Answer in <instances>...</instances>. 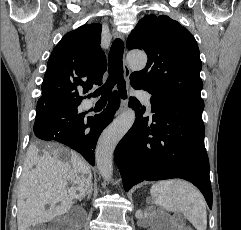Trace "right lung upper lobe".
I'll list each match as a JSON object with an SVG mask.
<instances>
[{
	"label": "right lung upper lobe",
	"instance_id": "right-lung-upper-lobe-1",
	"mask_svg": "<svg viewBox=\"0 0 241 230\" xmlns=\"http://www.w3.org/2000/svg\"><path fill=\"white\" fill-rule=\"evenodd\" d=\"M101 24L68 32L53 49L37 105L79 103L93 85L102 84L106 57L101 49Z\"/></svg>",
	"mask_w": 241,
	"mask_h": 230
}]
</instances>
